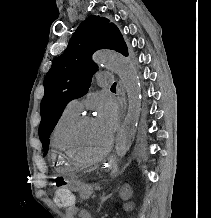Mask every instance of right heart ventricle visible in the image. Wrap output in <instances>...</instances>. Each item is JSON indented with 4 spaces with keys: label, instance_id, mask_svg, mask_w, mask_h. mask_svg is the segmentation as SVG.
<instances>
[{
    "label": "right heart ventricle",
    "instance_id": "1",
    "mask_svg": "<svg viewBox=\"0 0 211 218\" xmlns=\"http://www.w3.org/2000/svg\"><path fill=\"white\" fill-rule=\"evenodd\" d=\"M77 119L78 114L65 108L55 124L52 134L53 153L50 154L53 169H78V164H72L71 160H66V135Z\"/></svg>",
    "mask_w": 211,
    "mask_h": 218
}]
</instances>
